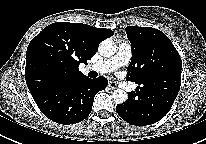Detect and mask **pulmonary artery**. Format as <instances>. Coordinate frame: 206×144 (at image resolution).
Listing matches in <instances>:
<instances>
[{"mask_svg": "<svg viewBox=\"0 0 206 144\" xmlns=\"http://www.w3.org/2000/svg\"><path fill=\"white\" fill-rule=\"evenodd\" d=\"M132 56L131 47L128 43H121L114 56L102 62L90 66L91 70L98 73H109L130 62Z\"/></svg>", "mask_w": 206, "mask_h": 144, "instance_id": "obj_1", "label": "pulmonary artery"}]
</instances>
